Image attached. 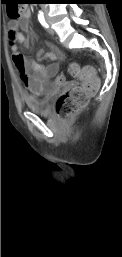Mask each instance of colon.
Here are the masks:
<instances>
[{"mask_svg":"<svg viewBox=\"0 0 122 257\" xmlns=\"http://www.w3.org/2000/svg\"><path fill=\"white\" fill-rule=\"evenodd\" d=\"M19 9V5H5V10H9V17L12 19L20 16ZM69 73L80 81V86L64 92L56 101V114L64 120L79 113L99 87V80L92 67L82 68L78 64L72 63L69 66ZM66 78V74H53L52 86L55 87V90H66V87L69 86V83L64 80Z\"/></svg>","mask_w":122,"mask_h":257,"instance_id":"5ec220e1","label":"colon"}]
</instances>
